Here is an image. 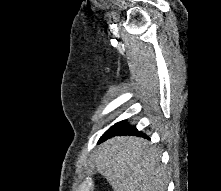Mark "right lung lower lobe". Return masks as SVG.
I'll use <instances>...</instances> for the list:
<instances>
[{"label":"right lung lower lobe","instance_id":"1","mask_svg":"<svg viewBox=\"0 0 221 191\" xmlns=\"http://www.w3.org/2000/svg\"><path fill=\"white\" fill-rule=\"evenodd\" d=\"M136 135V136H142L144 138H148L146 135H144L142 132L137 131L135 126H130L125 120L116 123L113 125L109 130H107L103 136L100 138L99 143L111 138L115 135Z\"/></svg>","mask_w":221,"mask_h":191}]
</instances>
